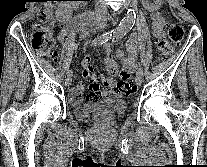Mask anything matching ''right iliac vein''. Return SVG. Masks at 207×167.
Segmentation results:
<instances>
[{"label":"right iliac vein","mask_w":207,"mask_h":167,"mask_svg":"<svg viewBox=\"0 0 207 167\" xmlns=\"http://www.w3.org/2000/svg\"><path fill=\"white\" fill-rule=\"evenodd\" d=\"M71 81H72V75H69L65 80V85L69 86L71 84Z\"/></svg>","instance_id":"63e3f726"}]
</instances>
